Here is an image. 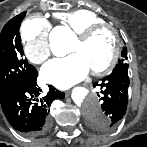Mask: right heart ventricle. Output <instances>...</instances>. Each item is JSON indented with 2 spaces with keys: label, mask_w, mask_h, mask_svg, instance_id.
Segmentation results:
<instances>
[{
  "label": "right heart ventricle",
  "mask_w": 147,
  "mask_h": 147,
  "mask_svg": "<svg viewBox=\"0 0 147 147\" xmlns=\"http://www.w3.org/2000/svg\"><path fill=\"white\" fill-rule=\"evenodd\" d=\"M56 18L76 35L92 26L105 23L102 17L89 9L58 13Z\"/></svg>",
  "instance_id": "obj_1"
}]
</instances>
